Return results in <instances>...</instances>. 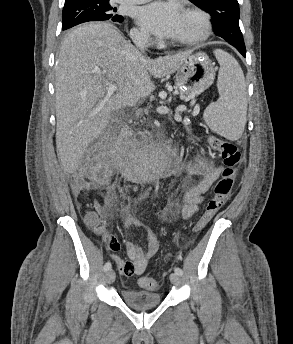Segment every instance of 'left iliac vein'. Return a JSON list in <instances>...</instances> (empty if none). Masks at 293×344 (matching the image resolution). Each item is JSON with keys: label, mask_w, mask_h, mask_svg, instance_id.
<instances>
[{"label": "left iliac vein", "mask_w": 293, "mask_h": 344, "mask_svg": "<svg viewBox=\"0 0 293 344\" xmlns=\"http://www.w3.org/2000/svg\"><path fill=\"white\" fill-rule=\"evenodd\" d=\"M170 281L173 285L179 286L181 284V277L176 273L170 274Z\"/></svg>", "instance_id": "1"}]
</instances>
